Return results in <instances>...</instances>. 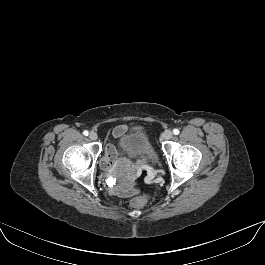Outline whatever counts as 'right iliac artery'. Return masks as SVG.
<instances>
[{
  "instance_id": "1",
  "label": "right iliac artery",
  "mask_w": 265,
  "mask_h": 265,
  "mask_svg": "<svg viewBox=\"0 0 265 265\" xmlns=\"http://www.w3.org/2000/svg\"><path fill=\"white\" fill-rule=\"evenodd\" d=\"M88 134H89V132H88L87 130H85V131L83 132V135H85V136H88Z\"/></svg>"
}]
</instances>
